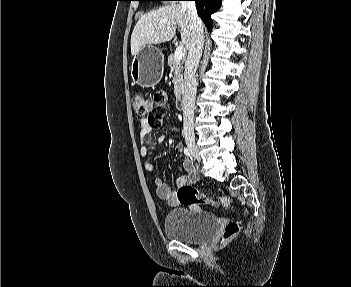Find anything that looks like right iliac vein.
<instances>
[{"label":"right iliac vein","mask_w":351,"mask_h":287,"mask_svg":"<svg viewBox=\"0 0 351 287\" xmlns=\"http://www.w3.org/2000/svg\"><path fill=\"white\" fill-rule=\"evenodd\" d=\"M186 144L189 148V150L192 152V154L194 155V157L200 161V156H199V151L198 148L196 146L195 140L193 138H187L186 139Z\"/></svg>","instance_id":"1"}]
</instances>
